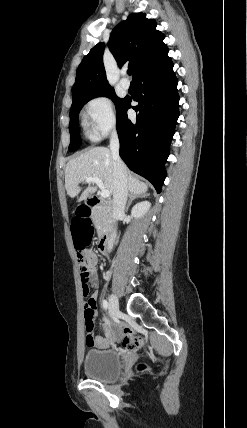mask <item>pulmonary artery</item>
<instances>
[{
  "label": "pulmonary artery",
  "instance_id": "pulmonary-artery-1",
  "mask_svg": "<svg viewBox=\"0 0 247 428\" xmlns=\"http://www.w3.org/2000/svg\"><path fill=\"white\" fill-rule=\"evenodd\" d=\"M121 86L123 89H128L130 87V82L127 79L123 78L121 80Z\"/></svg>",
  "mask_w": 247,
  "mask_h": 428
}]
</instances>
